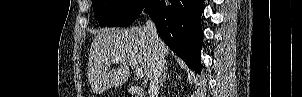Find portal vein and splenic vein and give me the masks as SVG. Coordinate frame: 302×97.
<instances>
[{"label":"portal vein and splenic vein","mask_w":302,"mask_h":97,"mask_svg":"<svg viewBox=\"0 0 302 97\" xmlns=\"http://www.w3.org/2000/svg\"><path fill=\"white\" fill-rule=\"evenodd\" d=\"M119 58H116L115 60H118ZM130 65H132L135 68V74L138 78H142L144 76L143 69L138 66V63L135 59H129Z\"/></svg>","instance_id":"portal-vein-and-splenic-vein-1"}]
</instances>
